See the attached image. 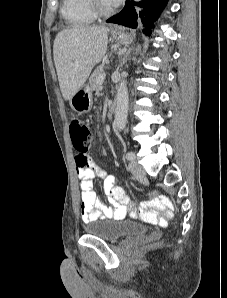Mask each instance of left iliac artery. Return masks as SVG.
Masks as SVG:
<instances>
[{
    "mask_svg": "<svg viewBox=\"0 0 227 298\" xmlns=\"http://www.w3.org/2000/svg\"><path fill=\"white\" fill-rule=\"evenodd\" d=\"M125 157L127 160H133L135 155L133 152H128Z\"/></svg>",
    "mask_w": 227,
    "mask_h": 298,
    "instance_id": "left-iliac-artery-1",
    "label": "left iliac artery"
}]
</instances>
